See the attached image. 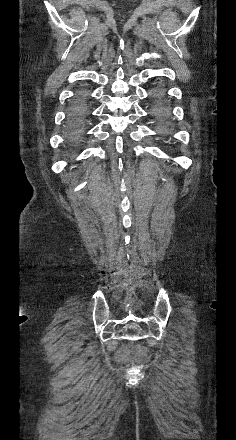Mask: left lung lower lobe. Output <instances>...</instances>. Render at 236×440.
<instances>
[{
  "mask_svg": "<svg viewBox=\"0 0 236 440\" xmlns=\"http://www.w3.org/2000/svg\"><path fill=\"white\" fill-rule=\"evenodd\" d=\"M152 97L154 101L152 115L162 126H165L170 119V108L166 94L162 88L158 87L153 91Z\"/></svg>",
  "mask_w": 236,
  "mask_h": 440,
  "instance_id": "0a47b994",
  "label": "left lung lower lobe"
}]
</instances>
